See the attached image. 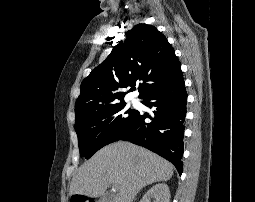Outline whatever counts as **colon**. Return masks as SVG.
<instances>
[{"instance_id":"5ec220e1","label":"colon","mask_w":255,"mask_h":202,"mask_svg":"<svg viewBox=\"0 0 255 202\" xmlns=\"http://www.w3.org/2000/svg\"><path fill=\"white\" fill-rule=\"evenodd\" d=\"M71 202H88L87 198H83V197H77V198H73L71 200Z\"/></svg>"}]
</instances>
